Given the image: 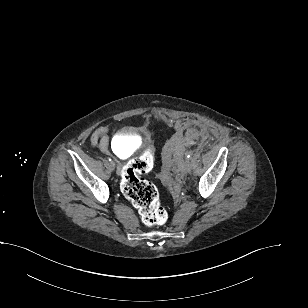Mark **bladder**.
<instances>
[{
    "label": "bladder",
    "instance_id": "31cf9c89",
    "mask_svg": "<svg viewBox=\"0 0 308 308\" xmlns=\"http://www.w3.org/2000/svg\"><path fill=\"white\" fill-rule=\"evenodd\" d=\"M138 145L136 134L128 129L119 131L112 140V149L120 158L129 156Z\"/></svg>",
    "mask_w": 308,
    "mask_h": 308
}]
</instances>
